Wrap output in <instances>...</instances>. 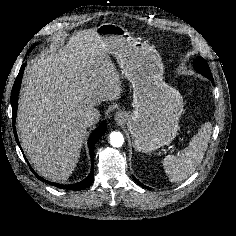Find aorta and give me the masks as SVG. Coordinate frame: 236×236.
Returning a JSON list of instances; mask_svg holds the SVG:
<instances>
[{
	"instance_id": "762f6f07",
	"label": "aorta",
	"mask_w": 236,
	"mask_h": 236,
	"mask_svg": "<svg viewBox=\"0 0 236 236\" xmlns=\"http://www.w3.org/2000/svg\"><path fill=\"white\" fill-rule=\"evenodd\" d=\"M110 143L113 147H121L124 144V137L122 133L119 131L111 132Z\"/></svg>"
}]
</instances>
